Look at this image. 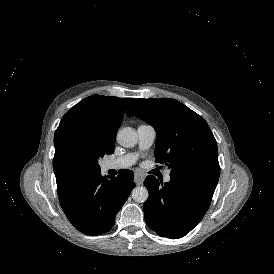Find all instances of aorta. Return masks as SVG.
Wrapping results in <instances>:
<instances>
[{
  "label": "aorta",
  "mask_w": 274,
  "mask_h": 274,
  "mask_svg": "<svg viewBox=\"0 0 274 274\" xmlns=\"http://www.w3.org/2000/svg\"><path fill=\"white\" fill-rule=\"evenodd\" d=\"M118 143L126 148L133 147L137 142V135L133 128L125 127L117 133ZM149 193L146 187L139 186L132 190V198L134 201L143 203L148 199Z\"/></svg>",
  "instance_id": "aorta-1"
}]
</instances>
